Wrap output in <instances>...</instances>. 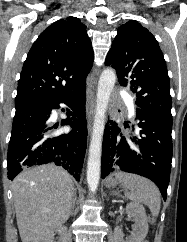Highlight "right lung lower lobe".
I'll use <instances>...</instances> for the list:
<instances>
[{"label": "right lung lower lobe", "instance_id": "1", "mask_svg": "<svg viewBox=\"0 0 187 242\" xmlns=\"http://www.w3.org/2000/svg\"><path fill=\"white\" fill-rule=\"evenodd\" d=\"M66 104L67 118L62 125H70L68 134L52 135L48 119L52 109ZM56 128V127H55ZM87 145L85 118V86L32 106L15 114L8 147V179L26 167L54 163L80 180Z\"/></svg>", "mask_w": 187, "mask_h": 242}]
</instances>
